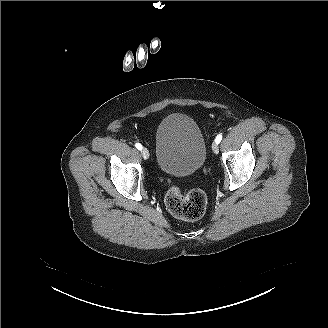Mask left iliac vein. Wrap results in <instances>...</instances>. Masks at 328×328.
Wrapping results in <instances>:
<instances>
[{
    "instance_id": "left-iliac-vein-1",
    "label": "left iliac vein",
    "mask_w": 328,
    "mask_h": 328,
    "mask_svg": "<svg viewBox=\"0 0 328 328\" xmlns=\"http://www.w3.org/2000/svg\"><path fill=\"white\" fill-rule=\"evenodd\" d=\"M211 147L214 153H218L219 151L218 143L214 142Z\"/></svg>"
}]
</instances>
